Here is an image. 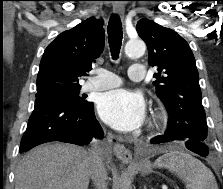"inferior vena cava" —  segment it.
Wrapping results in <instances>:
<instances>
[{"mask_svg": "<svg viewBox=\"0 0 223 189\" xmlns=\"http://www.w3.org/2000/svg\"><path fill=\"white\" fill-rule=\"evenodd\" d=\"M93 147L90 150L92 158L91 179L97 189H107V172L103 163V149L99 146L97 140L93 139Z\"/></svg>", "mask_w": 223, "mask_h": 189, "instance_id": "1", "label": "inferior vena cava"}]
</instances>
